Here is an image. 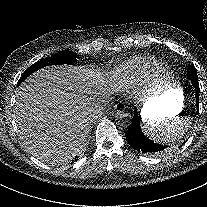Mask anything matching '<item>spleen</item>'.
<instances>
[{"label":"spleen","mask_w":207,"mask_h":207,"mask_svg":"<svg viewBox=\"0 0 207 207\" xmlns=\"http://www.w3.org/2000/svg\"><path fill=\"white\" fill-rule=\"evenodd\" d=\"M193 126V121L188 116H177L173 119H148L143 124V129L149 134L150 139L157 144L177 141L185 136Z\"/></svg>","instance_id":"spleen-1"}]
</instances>
